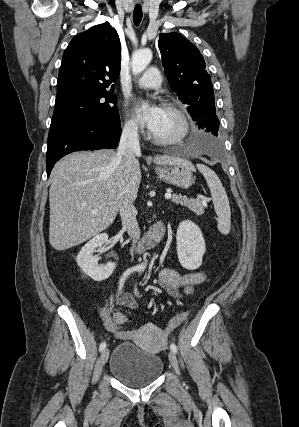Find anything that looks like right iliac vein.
Instances as JSON below:
<instances>
[{
    "instance_id": "right-iliac-vein-1",
    "label": "right iliac vein",
    "mask_w": 299,
    "mask_h": 427,
    "mask_svg": "<svg viewBox=\"0 0 299 427\" xmlns=\"http://www.w3.org/2000/svg\"><path fill=\"white\" fill-rule=\"evenodd\" d=\"M109 358V349H104L101 353V363L105 365Z\"/></svg>"
}]
</instances>
